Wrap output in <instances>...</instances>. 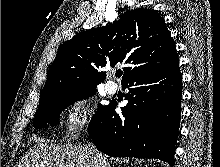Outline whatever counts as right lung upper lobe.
I'll use <instances>...</instances> for the list:
<instances>
[{
    "instance_id": "1",
    "label": "right lung upper lobe",
    "mask_w": 220,
    "mask_h": 167,
    "mask_svg": "<svg viewBox=\"0 0 220 167\" xmlns=\"http://www.w3.org/2000/svg\"><path fill=\"white\" fill-rule=\"evenodd\" d=\"M124 62L122 84L144 72L178 62L164 19L149 8L123 13L118 21L77 34L64 42L51 64L40 101L64 90L97 86L105 78L98 69Z\"/></svg>"
}]
</instances>
